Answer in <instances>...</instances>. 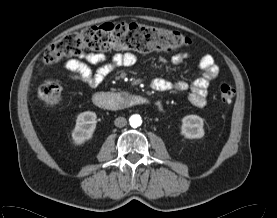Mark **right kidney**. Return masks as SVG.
<instances>
[{
	"label": "right kidney",
	"instance_id": "ca27d5eb",
	"mask_svg": "<svg viewBox=\"0 0 277 218\" xmlns=\"http://www.w3.org/2000/svg\"><path fill=\"white\" fill-rule=\"evenodd\" d=\"M96 118V113L92 111H86L77 116L76 125L72 132V139L75 144L81 145L92 138L96 128Z\"/></svg>",
	"mask_w": 277,
	"mask_h": 218
}]
</instances>
